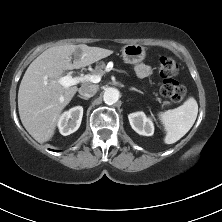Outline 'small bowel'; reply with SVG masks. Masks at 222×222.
I'll use <instances>...</instances> for the list:
<instances>
[{
  "label": "small bowel",
  "mask_w": 222,
  "mask_h": 222,
  "mask_svg": "<svg viewBox=\"0 0 222 222\" xmlns=\"http://www.w3.org/2000/svg\"><path fill=\"white\" fill-rule=\"evenodd\" d=\"M135 72L139 77L144 78L152 74V68L147 64L141 63L135 67Z\"/></svg>",
  "instance_id": "c3829d8e"
}]
</instances>
